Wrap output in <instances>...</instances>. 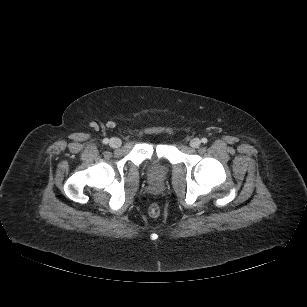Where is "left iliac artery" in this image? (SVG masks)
Listing matches in <instances>:
<instances>
[{"instance_id":"44dca946","label":"left iliac artery","mask_w":307,"mask_h":307,"mask_svg":"<svg viewBox=\"0 0 307 307\" xmlns=\"http://www.w3.org/2000/svg\"><path fill=\"white\" fill-rule=\"evenodd\" d=\"M208 142V140H207V138H202V143H207Z\"/></svg>"}]
</instances>
